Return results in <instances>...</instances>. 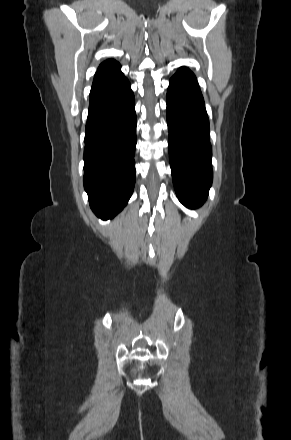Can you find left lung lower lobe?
Instances as JSON below:
<instances>
[{"mask_svg": "<svg viewBox=\"0 0 291 440\" xmlns=\"http://www.w3.org/2000/svg\"><path fill=\"white\" fill-rule=\"evenodd\" d=\"M169 159L174 188L189 208L201 206L212 183L209 120L195 75L181 67L167 91Z\"/></svg>", "mask_w": 291, "mask_h": 440, "instance_id": "1", "label": "left lung lower lobe"}]
</instances>
